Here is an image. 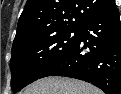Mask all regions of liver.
Segmentation results:
<instances>
[{
    "instance_id": "6515ba94",
    "label": "liver",
    "mask_w": 121,
    "mask_h": 94,
    "mask_svg": "<svg viewBox=\"0 0 121 94\" xmlns=\"http://www.w3.org/2000/svg\"><path fill=\"white\" fill-rule=\"evenodd\" d=\"M20 94H103V92L80 80L47 77L37 80Z\"/></svg>"
}]
</instances>
